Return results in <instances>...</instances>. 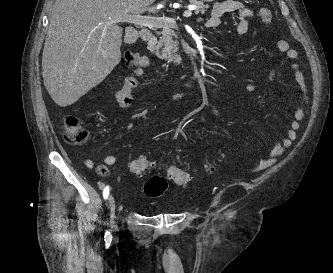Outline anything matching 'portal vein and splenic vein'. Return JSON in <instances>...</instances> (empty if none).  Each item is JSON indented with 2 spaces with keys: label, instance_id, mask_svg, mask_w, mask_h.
<instances>
[{
  "label": "portal vein and splenic vein",
  "instance_id": "obj_1",
  "mask_svg": "<svg viewBox=\"0 0 333 273\" xmlns=\"http://www.w3.org/2000/svg\"><path fill=\"white\" fill-rule=\"evenodd\" d=\"M195 7L189 8L183 13L184 17H190L192 15V10ZM121 22H127L139 26H144L148 28H167L169 26H174L176 21L174 18L169 17H151V16H141L136 14H129L125 15L124 17L120 18Z\"/></svg>",
  "mask_w": 333,
  "mask_h": 273
}]
</instances>
